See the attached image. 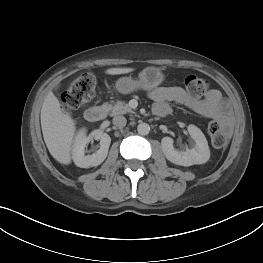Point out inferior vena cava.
<instances>
[{"label":"inferior vena cava","mask_w":263,"mask_h":263,"mask_svg":"<svg viewBox=\"0 0 263 263\" xmlns=\"http://www.w3.org/2000/svg\"><path fill=\"white\" fill-rule=\"evenodd\" d=\"M127 120L122 115H117L113 118V124L119 128H122L126 125Z\"/></svg>","instance_id":"inferior-vena-cava-1"}]
</instances>
